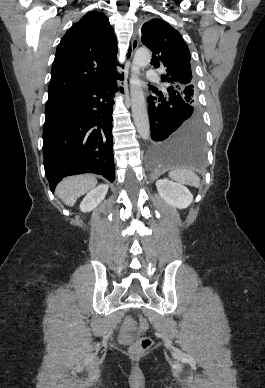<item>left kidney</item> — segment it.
I'll return each mask as SVG.
<instances>
[{"mask_svg":"<svg viewBox=\"0 0 265 388\" xmlns=\"http://www.w3.org/2000/svg\"><path fill=\"white\" fill-rule=\"evenodd\" d=\"M156 188L166 204L173 206V208L183 210V208H188L192 204L193 196L188 188H185L182 184H175L170 180H157Z\"/></svg>","mask_w":265,"mask_h":388,"instance_id":"5707ae66","label":"left kidney"}]
</instances>
